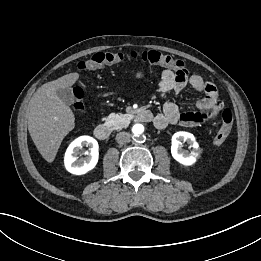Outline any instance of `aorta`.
I'll use <instances>...</instances> for the list:
<instances>
[{
	"mask_svg": "<svg viewBox=\"0 0 261 261\" xmlns=\"http://www.w3.org/2000/svg\"><path fill=\"white\" fill-rule=\"evenodd\" d=\"M145 128L142 124H135L132 127V134L136 139H143Z\"/></svg>",
	"mask_w": 261,
	"mask_h": 261,
	"instance_id": "aorta-1",
	"label": "aorta"
}]
</instances>
